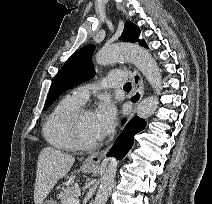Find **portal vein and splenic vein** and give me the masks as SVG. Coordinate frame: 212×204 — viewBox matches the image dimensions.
<instances>
[{
  "mask_svg": "<svg viewBox=\"0 0 212 204\" xmlns=\"http://www.w3.org/2000/svg\"><path fill=\"white\" fill-rule=\"evenodd\" d=\"M67 204H80V202L78 198H70L68 199Z\"/></svg>",
  "mask_w": 212,
  "mask_h": 204,
  "instance_id": "1",
  "label": "portal vein and splenic vein"
}]
</instances>
